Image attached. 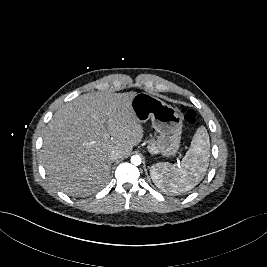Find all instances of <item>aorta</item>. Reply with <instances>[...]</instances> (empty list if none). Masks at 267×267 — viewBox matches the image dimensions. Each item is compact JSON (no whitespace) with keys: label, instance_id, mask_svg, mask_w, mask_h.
Instances as JSON below:
<instances>
[{"label":"aorta","instance_id":"aorta-1","mask_svg":"<svg viewBox=\"0 0 267 267\" xmlns=\"http://www.w3.org/2000/svg\"><path fill=\"white\" fill-rule=\"evenodd\" d=\"M141 162H142V160H141V157H140L139 155H133V156L131 157V163H132V164L138 166V165L141 164Z\"/></svg>","mask_w":267,"mask_h":267}]
</instances>
